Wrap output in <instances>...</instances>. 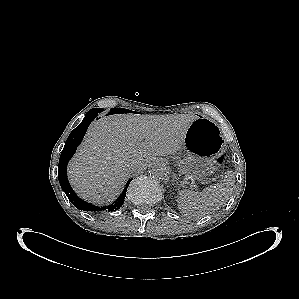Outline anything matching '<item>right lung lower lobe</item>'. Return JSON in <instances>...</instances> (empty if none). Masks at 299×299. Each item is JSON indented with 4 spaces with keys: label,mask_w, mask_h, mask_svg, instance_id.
<instances>
[{
    "label": "right lung lower lobe",
    "mask_w": 299,
    "mask_h": 299,
    "mask_svg": "<svg viewBox=\"0 0 299 299\" xmlns=\"http://www.w3.org/2000/svg\"><path fill=\"white\" fill-rule=\"evenodd\" d=\"M98 113L93 112V113H88L85 115L83 121L79 126H77L72 132L70 133L69 137L67 138V141L65 143V146L62 150V153L60 155V160H59V169H58V177H59V182L60 186L69 198V200L73 203V205L78 208L79 210H85V211H102L105 210V207H97L94 206L90 203H87L83 200H81L73 191L71 188L68 179H67V164L70 160V158L74 155L77 146L81 143L88 126L96 118ZM132 179H130L127 183L126 186L122 192V194L119 196V198L109 207H107V210L110 212L118 210L121 205H123L125 196H126V191L127 188L130 184Z\"/></svg>",
    "instance_id": "obj_1"
}]
</instances>
